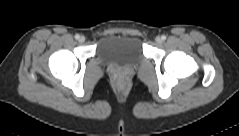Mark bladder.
<instances>
[{"label": "bladder", "instance_id": "bladder-1", "mask_svg": "<svg viewBox=\"0 0 239 136\" xmlns=\"http://www.w3.org/2000/svg\"><path fill=\"white\" fill-rule=\"evenodd\" d=\"M97 57L105 65L136 66L144 57L142 41L128 34L103 36L98 42Z\"/></svg>", "mask_w": 239, "mask_h": 136}]
</instances>
